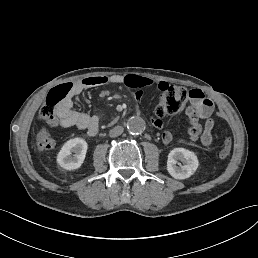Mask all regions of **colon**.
<instances>
[{"mask_svg": "<svg viewBox=\"0 0 258 258\" xmlns=\"http://www.w3.org/2000/svg\"><path fill=\"white\" fill-rule=\"evenodd\" d=\"M75 84L66 82L53 87L46 97L39 118L42 122L50 127L59 124L58 110L65 105L74 96ZM189 97V92L180 86L168 85L161 91L159 102L156 106L155 113L158 117H164L168 114L179 112L185 105ZM232 148V141L226 137L223 146L219 152L221 160H226Z\"/></svg>", "mask_w": 258, "mask_h": 258, "instance_id": "obj_1", "label": "colon"}]
</instances>
